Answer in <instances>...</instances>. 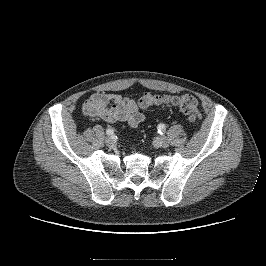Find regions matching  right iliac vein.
I'll return each instance as SVG.
<instances>
[{"label": "right iliac vein", "mask_w": 266, "mask_h": 266, "mask_svg": "<svg viewBox=\"0 0 266 266\" xmlns=\"http://www.w3.org/2000/svg\"><path fill=\"white\" fill-rule=\"evenodd\" d=\"M106 145H107L109 148L113 149V148L116 147V141H115L113 138H107V139H106Z\"/></svg>", "instance_id": "1"}]
</instances>
